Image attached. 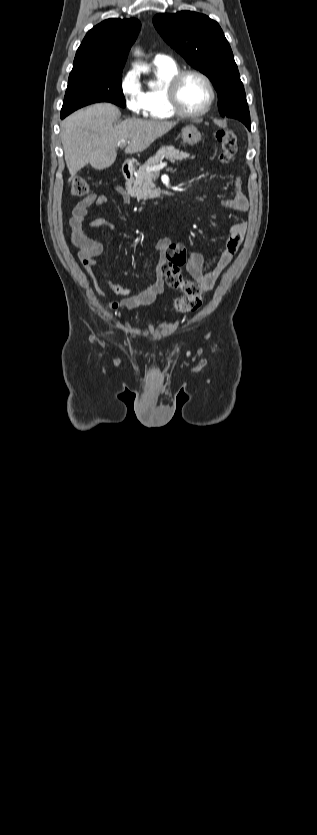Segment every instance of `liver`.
<instances>
[{
  "label": "liver",
  "instance_id": "obj_1",
  "mask_svg": "<svg viewBox=\"0 0 317 835\" xmlns=\"http://www.w3.org/2000/svg\"><path fill=\"white\" fill-rule=\"evenodd\" d=\"M120 115L115 105L98 103L62 121L60 135L71 177L87 164L98 170L111 166L124 141H129L125 154L142 152L177 124L130 118L115 125Z\"/></svg>",
  "mask_w": 317,
  "mask_h": 835
}]
</instances>
